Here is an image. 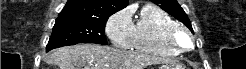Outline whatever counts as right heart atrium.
<instances>
[{"instance_id":"1","label":"right heart atrium","mask_w":246,"mask_h":69,"mask_svg":"<svg viewBox=\"0 0 246 69\" xmlns=\"http://www.w3.org/2000/svg\"><path fill=\"white\" fill-rule=\"evenodd\" d=\"M132 27L133 22L130 13L124 9L116 12L108 19L105 32L115 47L130 48Z\"/></svg>"}]
</instances>
